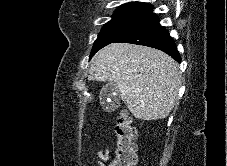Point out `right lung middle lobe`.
Wrapping results in <instances>:
<instances>
[{
    "mask_svg": "<svg viewBox=\"0 0 227 166\" xmlns=\"http://www.w3.org/2000/svg\"><path fill=\"white\" fill-rule=\"evenodd\" d=\"M153 15L152 6L122 5L106 23L94 42L90 57L99 49L133 30Z\"/></svg>",
    "mask_w": 227,
    "mask_h": 166,
    "instance_id": "1",
    "label": "right lung middle lobe"
}]
</instances>
